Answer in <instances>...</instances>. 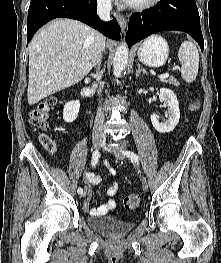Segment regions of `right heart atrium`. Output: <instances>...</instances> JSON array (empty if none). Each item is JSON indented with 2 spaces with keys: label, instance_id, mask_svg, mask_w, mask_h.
Returning <instances> with one entry per match:
<instances>
[{
  "label": "right heart atrium",
  "instance_id": "d8ad5b80",
  "mask_svg": "<svg viewBox=\"0 0 221 263\" xmlns=\"http://www.w3.org/2000/svg\"><path fill=\"white\" fill-rule=\"evenodd\" d=\"M97 1L103 7H109L111 4V0H97Z\"/></svg>",
  "mask_w": 221,
  "mask_h": 263
}]
</instances>
